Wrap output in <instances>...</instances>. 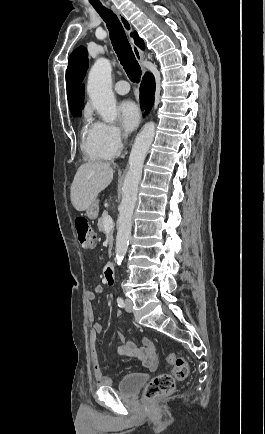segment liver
<instances>
[{"instance_id":"1","label":"liver","mask_w":265,"mask_h":434,"mask_svg":"<svg viewBox=\"0 0 265 434\" xmlns=\"http://www.w3.org/2000/svg\"><path fill=\"white\" fill-rule=\"evenodd\" d=\"M112 162L82 164L76 172L71 186V202L78 212L88 210L98 194L113 180Z\"/></svg>"}]
</instances>
